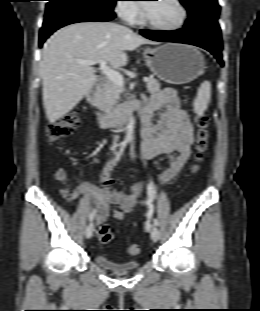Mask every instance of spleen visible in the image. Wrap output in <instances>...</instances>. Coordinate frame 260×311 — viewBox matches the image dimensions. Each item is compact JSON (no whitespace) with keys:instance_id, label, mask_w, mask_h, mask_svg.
<instances>
[{"instance_id":"spleen-1","label":"spleen","mask_w":260,"mask_h":311,"mask_svg":"<svg viewBox=\"0 0 260 311\" xmlns=\"http://www.w3.org/2000/svg\"><path fill=\"white\" fill-rule=\"evenodd\" d=\"M211 98V83L209 81H204L201 83L197 97L194 100V110L198 115H203L204 111L207 109Z\"/></svg>"}]
</instances>
